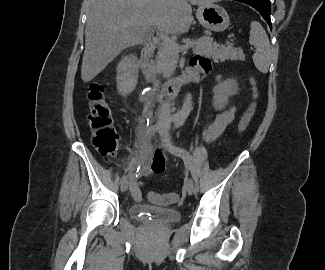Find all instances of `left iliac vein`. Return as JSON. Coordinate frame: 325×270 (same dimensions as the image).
Here are the masks:
<instances>
[{
  "instance_id": "left-iliac-vein-1",
  "label": "left iliac vein",
  "mask_w": 325,
  "mask_h": 270,
  "mask_svg": "<svg viewBox=\"0 0 325 270\" xmlns=\"http://www.w3.org/2000/svg\"><path fill=\"white\" fill-rule=\"evenodd\" d=\"M160 136L162 139V146L165 150H167L169 153L180 156L178 153L175 152L174 150V145L169 139V126L165 125L161 130H160ZM186 190L189 195H192L195 192V187H194V182L192 179L189 180Z\"/></svg>"
}]
</instances>
